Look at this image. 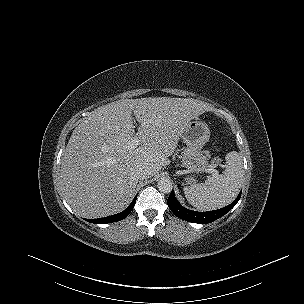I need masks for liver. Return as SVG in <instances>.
<instances>
[{
    "label": "liver",
    "mask_w": 304,
    "mask_h": 304,
    "mask_svg": "<svg viewBox=\"0 0 304 304\" xmlns=\"http://www.w3.org/2000/svg\"><path fill=\"white\" fill-rule=\"evenodd\" d=\"M206 110L202 101L171 97L125 99L97 108L73 130L63 153L60 185L67 203L87 218L123 211L135 193L136 169L157 174L188 122ZM134 136L138 147L130 144Z\"/></svg>",
    "instance_id": "obj_1"
}]
</instances>
